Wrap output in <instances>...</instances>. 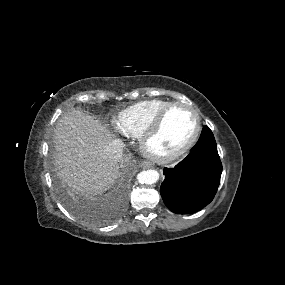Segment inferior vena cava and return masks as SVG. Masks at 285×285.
Masks as SVG:
<instances>
[{
    "instance_id": "602c4592",
    "label": "inferior vena cava",
    "mask_w": 285,
    "mask_h": 285,
    "mask_svg": "<svg viewBox=\"0 0 285 285\" xmlns=\"http://www.w3.org/2000/svg\"><path fill=\"white\" fill-rule=\"evenodd\" d=\"M111 146V154L110 157L114 161L120 162L123 159L122 152L123 148L125 147V144L119 140L115 139L110 143Z\"/></svg>"
}]
</instances>
